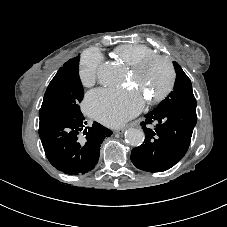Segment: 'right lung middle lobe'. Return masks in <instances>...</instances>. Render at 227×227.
Segmentation results:
<instances>
[{
    "mask_svg": "<svg viewBox=\"0 0 227 227\" xmlns=\"http://www.w3.org/2000/svg\"><path fill=\"white\" fill-rule=\"evenodd\" d=\"M79 56L66 62L51 80L39 111L40 127L62 117H83L79 103L83 88L78 75Z\"/></svg>",
    "mask_w": 227,
    "mask_h": 227,
    "instance_id": "dd1d6c3e",
    "label": "right lung middle lobe"
}]
</instances>
